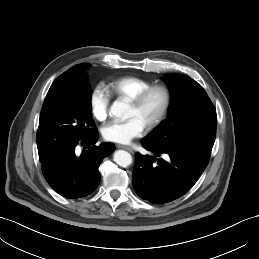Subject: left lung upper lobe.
I'll return each mask as SVG.
<instances>
[{"label":"left lung upper lobe","mask_w":259,"mask_h":259,"mask_svg":"<svg viewBox=\"0 0 259 259\" xmlns=\"http://www.w3.org/2000/svg\"><path fill=\"white\" fill-rule=\"evenodd\" d=\"M164 79L172 96L168 118L144 139L170 149L196 143L213 146L217 116L206 91L186 75L169 74Z\"/></svg>","instance_id":"5c2ea615"}]
</instances>
